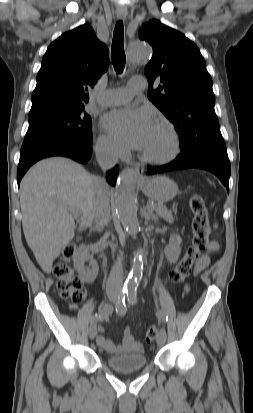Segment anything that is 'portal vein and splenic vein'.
Wrapping results in <instances>:
<instances>
[{"label": "portal vein and splenic vein", "mask_w": 253, "mask_h": 413, "mask_svg": "<svg viewBox=\"0 0 253 413\" xmlns=\"http://www.w3.org/2000/svg\"><path fill=\"white\" fill-rule=\"evenodd\" d=\"M148 208L153 210L154 205L153 204H148ZM73 214H74V216H79V212L77 210H73Z\"/></svg>", "instance_id": "obj_1"}]
</instances>
